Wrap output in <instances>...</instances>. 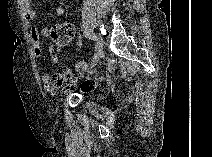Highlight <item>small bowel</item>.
Instances as JSON below:
<instances>
[{
  "instance_id": "1",
  "label": "small bowel",
  "mask_w": 212,
  "mask_h": 157,
  "mask_svg": "<svg viewBox=\"0 0 212 157\" xmlns=\"http://www.w3.org/2000/svg\"><path fill=\"white\" fill-rule=\"evenodd\" d=\"M21 9L24 18V22L29 30V36L33 43V53L34 56L39 58L43 54L42 46H41V38H47L50 34L49 27H43L40 31L37 27L32 25V22L36 18V11L33 7V4L30 0H23L21 2ZM65 13V10L62 6H57L54 8V15L56 17H62ZM78 46H81V43H77ZM48 54L50 55V59L52 63H56L58 58L56 56V49L55 47L50 44L48 46ZM42 81L44 84V88L50 92L54 93L56 91V86L52 82V77L49 74H44L42 76Z\"/></svg>"
}]
</instances>
